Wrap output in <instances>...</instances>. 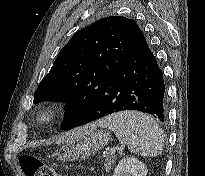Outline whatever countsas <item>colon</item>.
Instances as JSON below:
<instances>
[{"instance_id": "1", "label": "colon", "mask_w": 205, "mask_h": 176, "mask_svg": "<svg viewBox=\"0 0 205 176\" xmlns=\"http://www.w3.org/2000/svg\"><path fill=\"white\" fill-rule=\"evenodd\" d=\"M19 165L25 176H58L47 165L30 155L22 156Z\"/></svg>"}]
</instances>
